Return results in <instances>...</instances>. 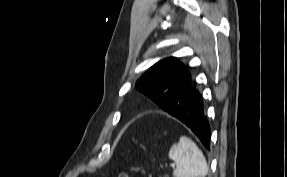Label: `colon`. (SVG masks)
I'll return each instance as SVG.
<instances>
[{
  "instance_id": "1",
  "label": "colon",
  "mask_w": 287,
  "mask_h": 177,
  "mask_svg": "<svg viewBox=\"0 0 287 177\" xmlns=\"http://www.w3.org/2000/svg\"><path fill=\"white\" fill-rule=\"evenodd\" d=\"M119 177H129V175L126 172H121Z\"/></svg>"
}]
</instances>
